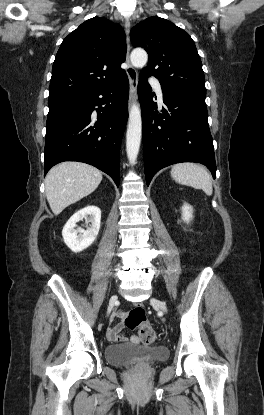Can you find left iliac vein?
Masks as SVG:
<instances>
[{"label": "left iliac vein", "instance_id": "obj_1", "mask_svg": "<svg viewBox=\"0 0 264 415\" xmlns=\"http://www.w3.org/2000/svg\"><path fill=\"white\" fill-rule=\"evenodd\" d=\"M151 303L157 307H159L160 310H162L163 312L167 313V306L165 305L164 302H162L159 299L156 298H152L151 299Z\"/></svg>", "mask_w": 264, "mask_h": 415}]
</instances>
